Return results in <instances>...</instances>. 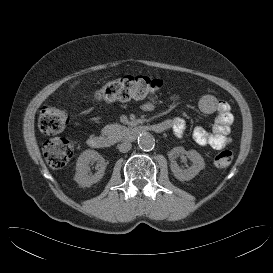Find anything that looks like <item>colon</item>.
<instances>
[{
    "label": "colon",
    "mask_w": 273,
    "mask_h": 273,
    "mask_svg": "<svg viewBox=\"0 0 273 273\" xmlns=\"http://www.w3.org/2000/svg\"><path fill=\"white\" fill-rule=\"evenodd\" d=\"M163 86L157 78L147 76H124L105 82L94 93L96 101H127L155 94ZM68 123V114L59 106H45L39 117V127L45 134H56L64 130ZM43 152L52 168L64 167L72 158V144L62 138H50L44 142ZM233 152L229 148L221 150L214 163L219 168L228 167L233 161Z\"/></svg>",
    "instance_id": "colon-1"
}]
</instances>
